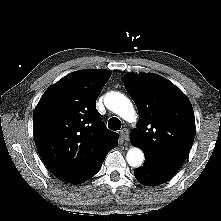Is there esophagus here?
Returning a JSON list of instances; mask_svg holds the SVG:
<instances>
[{
    "mask_svg": "<svg viewBox=\"0 0 221 221\" xmlns=\"http://www.w3.org/2000/svg\"><path fill=\"white\" fill-rule=\"evenodd\" d=\"M121 138L127 141L129 139V131L126 128L120 130Z\"/></svg>",
    "mask_w": 221,
    "mask_h": 221,
    "instance_id": "esophagus-1",
    "label": "esophagus"
}]
</instances>
